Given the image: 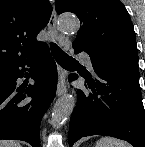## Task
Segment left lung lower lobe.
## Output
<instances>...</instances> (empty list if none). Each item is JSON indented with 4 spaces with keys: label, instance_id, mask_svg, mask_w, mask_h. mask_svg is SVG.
I'll return each instance as SVG.
<instances>
[{
    "label": "left lung lower lobe",
    "instance_id": "obj_1",
    "mask_svg": "<svg viewBox=\"0 0 145 147\" xmlns=\"http://www.w3.org/2000/svg\"><path fill=\"white\" fill-rule=\"evenodd\" d=\"M75 53L82 52L73 46ZM90 56V55H89ZM95 77H85L92 92H77L68 133L69 146L81 137L106 135L145 147V112L139 86L138 59L90 56ZM78 75L71 74L69 80Z\"/></svg>",
    "mask_w": 145,
    "mask_h": 147
}]
</instances>
